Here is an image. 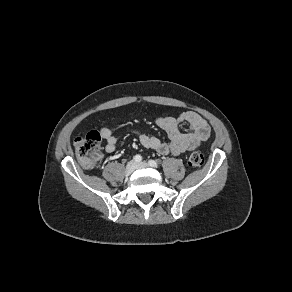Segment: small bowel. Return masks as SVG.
Listing matches in <instances>:
<instances>
[{
  "instance_id": "1",
  "label": "small bowel",
  "mask_w": 292,
  "mask_h": 292,
  "mask_svg": "<svg viewBox=\"0 0 292 292\" xmlns=\"http://www.w3.org/2000/svg\"><path fill=\"white\" fill-rule=\"evenodd\" d=\"M155 123L167 133L168 142L149 136L138 129H134V132L143 147L155 150L163 155H179L185 151L193 150L208 140L211 134L210 126L206 120L193 111L183 112L177 117L162 114L155 119ZM181 124H187L190 131L180 132ZM100 134L106 141L105 151L113 153L116 150L117 138L113 135L111 129L104 126L100 129Z\"/></svg>"
}]
</instances>
